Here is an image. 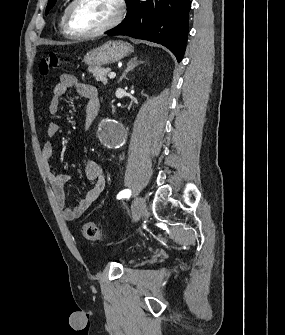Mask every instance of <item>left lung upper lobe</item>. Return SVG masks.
<instances>
[{
    "label": "left lung upper lobe",
    "instance_id": "1",
    "mask_svg": "<svg viewBox=\"0 0 285 335\" xmlns=\"http://www.w3.org/2000/svg\"><path fill=\"white\" fill-rule=\"evenodd\" d=\"M57 0H48V5H47V9H46V14L48 13V11L54 6V4L56 3Z\"/></svg>",
    "mask_w": 285,
    "mask_h": 335
}]
</instances>
